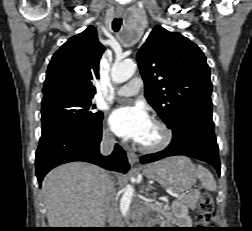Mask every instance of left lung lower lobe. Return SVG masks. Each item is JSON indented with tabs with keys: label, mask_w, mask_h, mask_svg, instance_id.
I'll return each instance as SVG.
<instances>
[{
	"label": "left lung lower lobe",
	"mask_w": 252,
	"mask_h": 231,
	"mask_svg": "<svg viewBox=\"0 0 252 231\" xmlns=\"http://www.w3.org/2000/svg\"><path fill=\"white\" fill-rule=\"evenodd\" d=\"M169 127L173 131L170 145L160 152L142 156V164L169 156L185 155L210 163L220 174L212 112L188 110L176 117Z\"/></svg>",
	"instance_id": "1"
}]
</instances>
